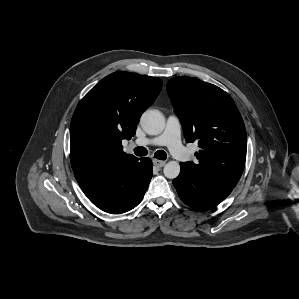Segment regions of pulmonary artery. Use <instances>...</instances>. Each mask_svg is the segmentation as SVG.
I'll return each mask as SVG.
<instances>
[{"mask_svg":"<svg viewBox=\"0 0 299 299\" xmlns=\"http://www.w3.org/2000/svg\"><path fill=\"white\" fill-rule=\"evenodd\" d=\"M180 134L181 124L179 119L175 115H170L161 135L152 138H139L134 144L136 146H167L177 159L187 160L189 154L181 143Z\"/></svg>","mask_w":299,"mask_h":299,"instance_id":"1","label":"pulmonary artery"}]
</instances>
